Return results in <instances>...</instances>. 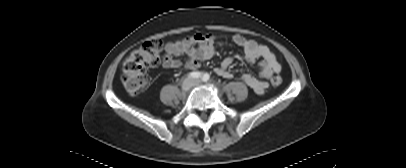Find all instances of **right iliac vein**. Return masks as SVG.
<instances>
[{"instance_id":"right-iliac-vein-1","label":"right iliac vein","mask_w":406,"mask_h":168,"mask_svg":"<svg viewBox=\"0 0 406 168\" xmlns=\"http://www.w3.org/2000/svg\"><path fill=\"white\" fill-rule=\"evenodd\" d=\"M192 85H193V80L192 79H190V78L185 79L183 81V83H182V86H181L182 91L183 92L189 91L191 89Z\"/></svg>"}]
</instances>
